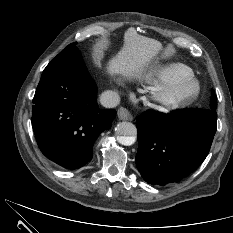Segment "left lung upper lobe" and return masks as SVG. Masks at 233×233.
I'll use <instances>...</instances> for the list:
<instances>
[{
  "label": "left lung upper lobe",
  "mask_w": 233,
  "mask_h": 233,
  "mask_svg": "<svg viewBox=\"0 0 233 233\" xmlns=\"http://www.w3.org/2000/svg\"><path fill=\"white\" fill-rule=\"evenodd\" d=\"M216 105H217L216 95H215L214 90H212V99H211V105H210L209 110L215 111Z\"/></svg>",
  "instance_id": "obj_1"
}]
</instances>
